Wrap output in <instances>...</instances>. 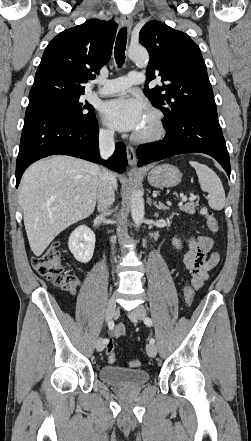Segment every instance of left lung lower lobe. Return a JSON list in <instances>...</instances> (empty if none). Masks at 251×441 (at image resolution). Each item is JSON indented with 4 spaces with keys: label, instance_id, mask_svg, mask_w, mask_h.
<instances>
[{
    "label": "left lung lower lobe",
    "instance_id": "obj_1",
    "mask_svg": "<svg viewBox=\"0 0 251 441\" xmlns=\"http://www.w3.org/2000/svg\"><path fill=\"white\" fill-rule=\"evenodd\" d=\"M165 127L163 140L138 146V166L183 153H205L216 159L230 177L229 154L217 112L183 114Z\"/></svg>",
    "mask_w": 251,
    "mask_h": 441
}]
</instances>
